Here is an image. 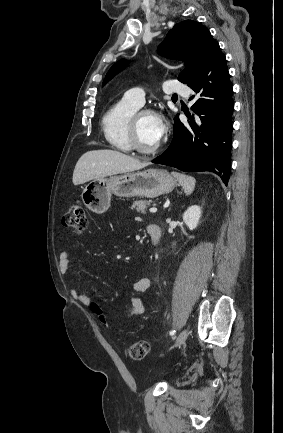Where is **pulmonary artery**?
I'll return each instance as SVG.
<instances>
[{
  "instance_id": "e3ab8cb5",
  "label": "pulmonary artery",
  "mask_w": 283,
  "mask_h": 433,
  "mask_svg": "<svg viewBox=\"0 0 283 433\" xmlns=\"http://www.w3.org/2000/svg\"><path fill=\"white\" fill-rule=\"evenodd\" d=\"M166 92H176L178 96H189L191 90L189 87H185L184 83H178L175 78H171L170 80H165ZM125 98L135 104L138 107H141L145 102V97L143 91L140 89H131L125 93Z\"/></svg>"
}]
</instances>
